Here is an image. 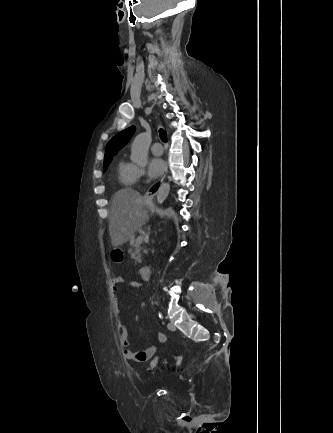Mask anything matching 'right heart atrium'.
<instances>
[{
    "label": "right heart atrium",
    "instance_id": "d8ad5b80",
    "mask_svg": "<svg viewBox=\"0 0 333 433\" xmlns=\"http://www.w3.org/2000/svg\"><path fill=\"white\" fill-rule=\"evenodd\" d=\"M145 171L143 167H137V176L138 178L142 177L144 175Z\"/></svg>",
    "mask_w": 333,
    "mask_h": 433
}]
</instances>
